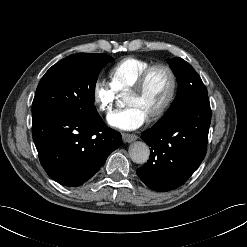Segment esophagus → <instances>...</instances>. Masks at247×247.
<instances>
[{
    "instance_id": "34e87169",
    "label": "esophagus",
    "mask_w": 247,
    "mask_h": 247,
    "mask_svg": "<svg viewBox=\"0 0 247 247\" xmlns=\"http://www.w3.org/2000/svg\"><path fill=\"white\" fill-rule=\"evenodd\" d=\"M122 139L124 142H132L137 139V136L135 134H129V133H122Z\"/></svg>"
}]
</instances>
